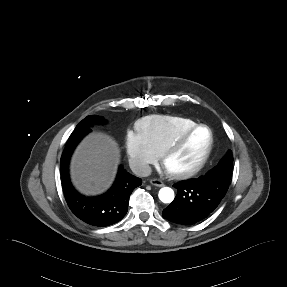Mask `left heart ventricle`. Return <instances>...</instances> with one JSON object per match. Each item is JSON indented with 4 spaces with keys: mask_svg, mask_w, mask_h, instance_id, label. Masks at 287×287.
I'll return each instance as SVG.
<instances>
[{
    "mask_svg": "<svg viewBox=\"0 0 287 287\" xmlns=\"http://www.w3.org/2000/svg\"><path fill=\"white\" fill-rule=\"evenodd\" d=\"M210 141L209 131L198 129L166 162V169L182 171L192 168L201 159Z\"/></svg>",
    "mask_w": 287,
    "mask_h": 287,
    "instance_id": "1",
    "label": "left heart ventricle"
}]
</instances>
